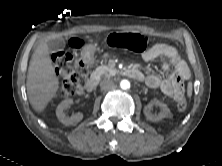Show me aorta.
Masks as SVG:
<instances>
[{
  "label": "aorta",
  "instance_id": "1",
  "mask_svg": "<svg viewBox=\"0 0 222 166\" xmlns=\"http://www.w3.org/2000/svg\"><path fill=\"white\" fill-rule=\"evenodd\" d=\"M120 87L124 90L129 89L130 88V82L128 80H122L120 82Z\"/></svg>",
  "mask_w": 222,
  "mask_h": 166
}]
</instances>
